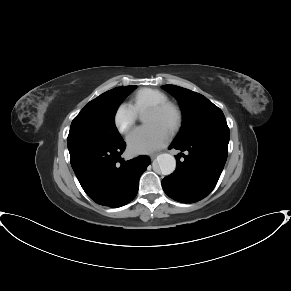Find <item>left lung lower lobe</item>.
<instances>
[{
    "instance_id": "left-lung-lower-lobe-1",
    "label": "left lung lower lobe",
    "mask_w": 291,
    "mask_h": 291,
    "mask_svg": "<svg viewBox=\"0 0 291 291\" xmlns=\"http://www.w3.org/2000/svg\"><path fill=\"white\" fill-rule=\"evenodd\" d=\"M229 134L202 137L169 147L185 152L176 157L178 167L162 180L164 192L173 200L194 203L205 198L215 187L228 154Z\"/></svg>"
}]
</instances>
